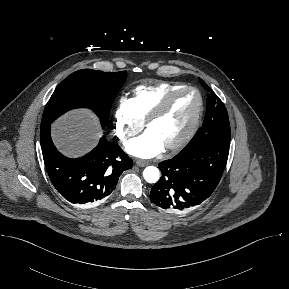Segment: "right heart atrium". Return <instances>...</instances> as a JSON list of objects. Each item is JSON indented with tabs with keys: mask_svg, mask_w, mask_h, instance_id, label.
Masks as SVG:
<instances>
[{
	"mask_svg": "<svg viewBox=\"0 0 289 289\" xmlns=\"http://www.w3.org/2000/svg\"><path fill=\"white\" fill-rule=\"evenodd\" d=\"M143 127V122L136 117L131 99L121 98L114 112V133L121 141L135 136Z\"/></svg>",
	"mask_w": 289,
	"mask_h": 289,
	"instance_id": "obj_1",
	"label": "right heart atrium"
}]
</instances>
